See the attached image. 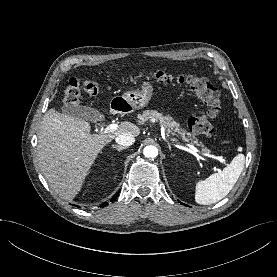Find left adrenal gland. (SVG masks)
Segmentation results:
<instances>
[{
    "mask_svg": "<svg viewBox=\"0 0 277 277\" xmlns=\"http://www.w3.org/2000/svg\"><path fill=\"white\" fill-rule=\"evenodd\" d=\"M169 150H171V145L168 144ZM172 156H175V154H172Z\"/></svg>",
    "mask_w": 277,
    "mask_h": 277,
    "instance_id": "1",
    "label": "left adrenal gland"
}]
</instances>
